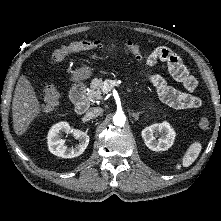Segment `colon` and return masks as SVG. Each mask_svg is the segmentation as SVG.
Segmentation results:
<instances>
[{
    "instance_id": "1",
    "label": "colon",
    "mask_w": 221,
    "mask_h": 221,
    "mask_svg": "<svg viewBox=\"0 0 221 221\" xmlns=\"http://www.w3.org/2000/svg\"><path fill=\"white\" fill-rule=\"evenodd\" d=\"M130 53L137 58L146 56L143 48L131 41L121 43ZM103 47L102 41H85L76 40L56 49L51 56V65H56L64 60V58L71 53L94 51ZM60 94L54 86H46L44 88V105L43 110L48 111L54 108L59 102ZM199 127L202 130H209L211 128V121L207 116H204L199 121Z\"/></svg>"
}]
</instances>
